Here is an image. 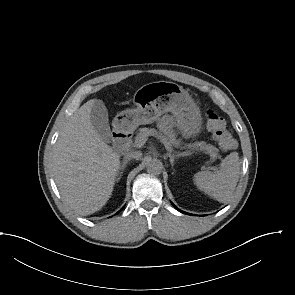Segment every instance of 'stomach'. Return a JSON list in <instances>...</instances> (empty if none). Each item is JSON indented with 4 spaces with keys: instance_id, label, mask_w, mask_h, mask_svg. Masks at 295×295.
<instances>
[{
    "instance_id": "stomach-1",
    "label": "stomach",
    "mask_w": 295,
    "mask_h": 295,
    "mask_svg": "<svg viewBox=\"0 0 295 295\" xmlns=\"http://www.w3.org/2000/svg\"><path fill=\"white\" fill-rule=\"evenodd\" d=\"M135 109L122 111L117 121L128 130L150 124L162 114L171 112L177 127L188 135L201 129L202 118L198 105L182 86L168 81L152 82L141 87L134 99Z\"/></svg>"
}]
</instances>
